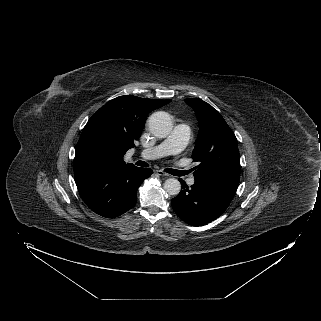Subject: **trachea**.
I'll return each instance as SVG.
<instances>
[{"mask_svg": "<svg viewBox=\"0 0 321 321\" xmlns=\"http://www.w3.org/2000/svg\"><path fill=\"white\" fill-rule=\"evenodd\" d=\"M136 165L137 166H141V167H148L149 165H148V163H146V162H144V161H137L136 162ZM165 171L167 172V173H169V174H172V175H175V176H179L180 175V171H178V170H174V169H165Z\"/></svg>", "mask_w": 321, "mask_h": 321, "instance_id": "obj_1", "label": "trachea"}]
</instances>
